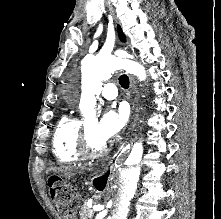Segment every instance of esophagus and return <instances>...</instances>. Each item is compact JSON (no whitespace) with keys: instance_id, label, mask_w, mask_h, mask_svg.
Here are the masks:
<instances>
[{"instance_id":"34e87169","label":"esophagus","mask_w":221,"mask_h":219,"mask_svg":"<svg viewBox=\"0 0 221 219\" xmlns=\"http://www.w3.org/2000/svg\"><path fill=\"white\" fill-rule=\"evenodd\" d=\"M130 79V92H131V105L132 111L136 108V101H137V91L135 86V81L132 76H129Z\"/></svg>"}]
</instances>
